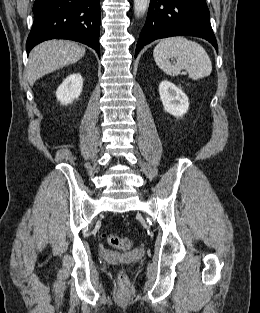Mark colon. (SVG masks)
Returning a JSON list of instances; mask_svg holds the SVG:
<instances>
[{
    "label": "colon",
    "instance_id": "1",
    "mask_svg": "<svg viewBox=\"0 0 260 313\" xmlns=\"http://www.w3.org/2000/svg\"><path fill=\"white\" fill-rule=\"evenodd\" d=\"M107 241L111 246L119 249H127L130 246V242L126 237H120L115 234H108ZM119 281L122 284L126 282V275L124 272L119 274Z\"/></svg>",
    "mask_w": 260,
    "mask_h": 313
}]
</instances>
